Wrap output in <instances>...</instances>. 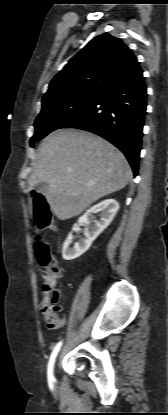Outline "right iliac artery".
<instances>
[{
  "instance_id": "right-iliac-artery-1",
  "label": "right iliac artery",
  "mask_w": 168,
  "mask_h": 415,
  "mask_svg": "<svg viewBox=\"0 0 168 415\" xmlns=\"http://www.w3.org/2000/svg\"><path fill=\"white\" fill-rule=\"evenodd\" d=\"M61 345H62V341L59 342L55 346V348H54V350H53V352H52V354L50 356V359H49L48 369H47V375H48V380L50 382L54 380V377H53V367H54V362H55L56 356H57V354H58V352H59V350L61 348Z\"/></svg>"
}]
</instances>
